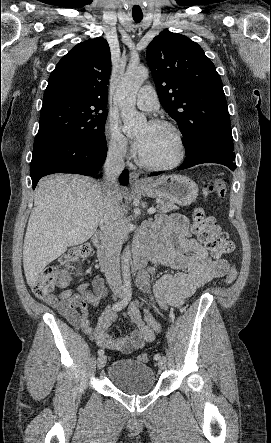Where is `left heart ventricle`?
Segmentation results:
<instances>
[{"instance_id": "left-heart-ventricle-1", "label": "left heart ventricle", "mask_w": 271, "mask_h": 443, "mask_svg": "<svg viewBox=\"0 0 271 443\" xmlns=\"http://www.w3.org/2000/svg\"><path fill=\"white\" fill-rule=\"evenodd\" d=\"M145 138V145L140 154L149 162L166 164L173 161L179 152V144L173 130L168 127L144 125L136 139Z\"/></svg>"}]
</instances>
